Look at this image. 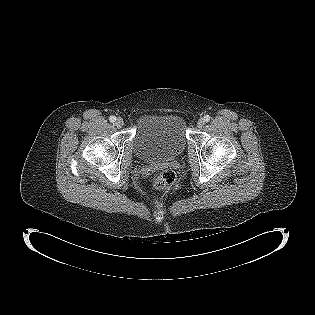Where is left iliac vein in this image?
<instances>
[{
  "label": "left iliac vein",
  "instance_id": "left-iliac-vein-1",
  "mask_svg": "<svg viewBox=\"0 0 315 315\" xmlns=\"http://www.w3.org/2000/svg\"><path fill=\"white\" fill-rule=\"evenodd\" d=\"M205 125V120L203 118H200L197 122V126L199 128H202Z\"/></svg>",
  "mask_w": 315,
  "mask_h": 315
}]
</instances>
